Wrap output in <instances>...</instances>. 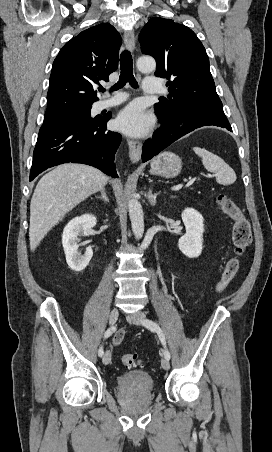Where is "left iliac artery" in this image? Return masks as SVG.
I'll return each instance as SVG.
<instances>
[{"mask_svg": "<svg viewBox=\"0 0 272 452\" xmlns=\"http://www.w3.org/2000/svg\"><path fill=\"white\" fill-rule=\"evenodd\" d=\"M143 324L149 328L151 331H155L157 332L159 339L161 340L162 344L164 345V356L165 358H167L168 360L170 359V353L168 351V349L166 348V340H165V335L163 333V331L161 330V328L159 327V325L152 321V320H144Z\"/></svg>", "mask_w": 272, "mask_h": 452, "instance_id": "obj_1", "label": "left iliac artery"}]
</instances>
